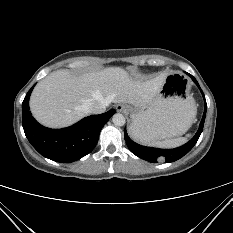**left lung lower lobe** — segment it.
<instances>
[{
  "instance_id": "1",
  "label": "left lung lower lobe",
  "mask_w": 233,
  "mask_h": 233,
  "mask_svg": "<svg viewBox=\"0 0 233 233\" xmlns=\"http://www.w3.org/2000/svg\"><path fill=\"white\" fill-rule=\"evenodd\" d=\"M189 76L192 78V80L199 87V84L196 81V79L191 75H189ZM201 92H202V90H201ZM202 94H203V92H202ZM203 97H204V94H203ZM204 99H205V97H204ZM206 109H207V105H206V101H205L204 114H203L202 120L200 122L199 129H198L197 133L189 142H187L185 145H183L181 147H178L175 149H158V148L141 146L129 138V136L126 132V129H125L124 130V137L126 140V144L133 154H135L139 158H142L148 162L157 163L160 160L161 161L165 160V162H174V161L180 159L181 157H183L185 154H187L193 148V146L196 144V142L198 141V139L202 133V130H203L205 116H206Z\"/></svg>"
}]
</instances>
